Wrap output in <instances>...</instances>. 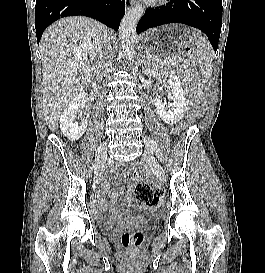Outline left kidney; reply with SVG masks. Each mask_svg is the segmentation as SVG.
I'll list each match as a JSON object with an SVG mask.
<instances>
[{
    "label": "left kidney",
    "mask_w": 265,
    "mask_h": 273,
    "mask_svg": "<svg viewBox=\"0 0 265 273\" xmlns=\"http://www.w3.org/2000/svg\"><path fill=\"white\" fill-rule=\"evenodd\" d=\"M169 85L171 88L170 99L173 101L172 110H167V104L162 102L160 95L155 96L154 105L166 124H175L184 117L187 110L186 99L179 77L170 74Z\"/></svg>",
    "instance_id": "obj_1"
}]
</instances>
